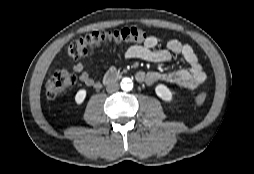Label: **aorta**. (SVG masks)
Instances as JSON below:
<instances>
[{
  "instance_id": "762f6f07",
  "label": "aorta",
  "mask_w": 254,
  "mask_h": 174,
  "mask_svg": "<svg viewBox=\"0 0 254 174\" xmlns=\"http://www.w3.org/2000/svg\"><path fill=\"white\" fill-rule=\"evenodd\" d=\"M120 85H121V89L124 91H130L133 88V83H132L131 79H129V78L122 79Z\"/></svg>"
}]
</instances>
